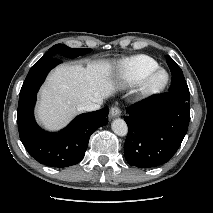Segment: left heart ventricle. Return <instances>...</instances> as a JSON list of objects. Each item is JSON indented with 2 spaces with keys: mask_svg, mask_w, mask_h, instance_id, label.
<instances>
[{
  "mask_svg": "<svg viewBox=\"0 0 213 213\" xmlns=\"http://www.w3.org/2000/svg\"><path fill=\"white\" fill-rule=\"evenodd\" d=\"M163 78V76H160V79H162Z\"/></svg>",
  "mask_w": 213,
  "mask_h": 213,
  "instance_id": "b2bd125f",
  "label": "left heart ventricle"
}]
</instances>
